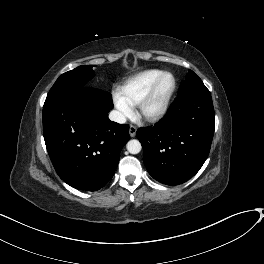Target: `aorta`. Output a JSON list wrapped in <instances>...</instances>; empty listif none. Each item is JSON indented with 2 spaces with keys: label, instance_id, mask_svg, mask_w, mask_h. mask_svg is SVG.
I'll use <instances>...</instances> for the list:
<instances>
[{
  "label": "aorta",
  "instance_id": "obj_1",
  "mask_svg": "<svg viewBox=\"0 0 264 264\" xmlns=\"http://www.w3.org/2000/svg\"><path fill=\"white\" fill-rule=\"evenodd\" d=\"M126 148L129 153L138 154L141 151L142 147L141 143L138 140L132 139L127 143Z\"/></svg>",
  "mask_w": 264,
  "mask_h": 264
}]
</instances>
